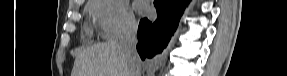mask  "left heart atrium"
<instances>
[{
	"mask_svg": "<svg viewBox=\"0 0 287 76\" xmlns=\"http://www.w3.org/2000/svg\"><path fill=\"white\" fill-rule=\"evenodd\" d=\"M139 9H140V11H142V12H147V7L144 6V5H140V6H139Z\"/></svg>",
	"mask_w": 287,
	"mask_h": 76,
	"instance_id": "left-heart-atrium-1",
	"label": "left heart atrium"
}]
</instances>
